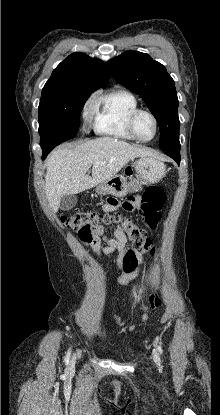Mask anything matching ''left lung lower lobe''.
Masks as SVG:
<instances>
[{"label":"left lung lower lobe","mask_w":220,"mask_h":415,"mask_svg":"<svg viewBox=\"0 0 220 415\" xmlns=\"http://www.w3.org/2000/svg\"><path fill=\"white\" fill-rule=\"evenodd\" d=\"M164 153L167 154L168 156H170L172 159H174L177 162V164L179 165V163H180V150L179 151H172V150L165 151L164 150Z\"/></svg>","instance_id":"obj_1"}]
</instances>
